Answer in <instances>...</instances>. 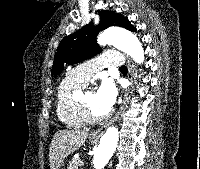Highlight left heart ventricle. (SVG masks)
I'll list each match as a JSON object with an SVG mask.
<instances>
[{
  "mask_svg": "<svg viewBox=\"0 0 200 169\" xmlns=\"http://www.w3.org/2000/svg\"><path fill=\"white\" fill-rule=\"evenodd\" d=\"M83 99L89 106L90 110L96 117H102L105 115L103 110L98 104L97 98H96V92L94 91H88L85 93Z\"/></svg>",
  "mask_w": 200,
  "mask_h": 169,
  "instance_id": "left-heart-ventricle-1",
  "label": "left heart ventricle"
}]
</instances>
